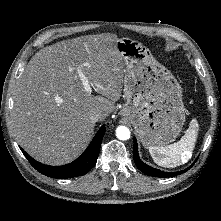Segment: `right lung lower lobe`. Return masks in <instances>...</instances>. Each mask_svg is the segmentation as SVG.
I'll use <instances>...</instances> for the list:
<instances>
[{
  "label": "right lung lower lobe",
  "instance_id": "98d812e1",
  "mask_svg": "<svg viewBox=\"0 0 221 221\" xmlns=\"http://www.w3.org/2000/svg\"><path fill=\"white\" fill-rule=\"evenodd\" d=\"M104 134L105 125H102L85 152L73 162L63 166L44 165L30 157L22 148L20 149L30 164L40 173L56 179L72 178L86 174L96 164Z\"/></svg>",
  "mask_w": 221,
  "mask_h": 221
}]
</instances>
